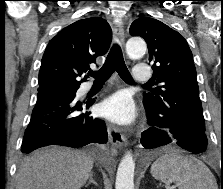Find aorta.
<instances>
[{"instance_id":"762f6f07","label":"aorta","mask_w":223,"mask_h":189,"mask_svg":"<svg viewBox=\"0 0 223 189\" xmlns=\"http://www.w3.org/2000/svg\"><path fill=\"white\" fill-rule=\"evenodd\" d=\"M147 46L145 41L139 37H132L126 43V53L132 59L144 56ZM135 162L131 152L122 158L116 175L115 189H134Z\"/></svg>"}]
</instances>
